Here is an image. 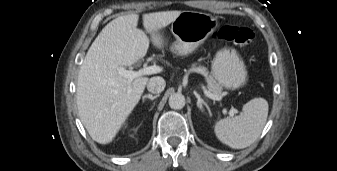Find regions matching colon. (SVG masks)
<instances>
[{"mask_svg":"<svg viewBox=\"0 0 337 171\" xmlns=\"http://www.w3.org/2000/svg\"><path fill=\"white\" fill-rule=\"evenodd\" d=\"M215 37L219 40L232 42L246 48L252 44L254 34L252 30L246 27L226 25L215 34Z\"/></svg>","mask_w":337,"mask_h":171,"instance_id":"colon-1","label":"colon"}]
</instances>
